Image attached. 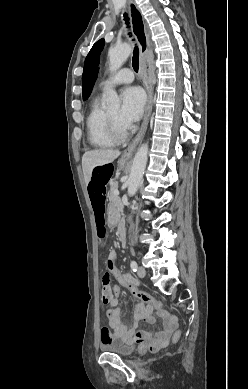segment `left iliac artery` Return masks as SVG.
Returning <instances> with one entry per match:
<instances>
[{"instance_id":"left-iliac-artery-1","label":"left iliac artery","mask_w":248,"mask_h":389,"mask_svg":"<svg viewBox=\"0 0 248 389\" xmlns=\"http://www.w3.org/2000/svg\"><path fill=\"white\" fill-rule=\"evenodd\" d=\"M130 267H131L132 271L136 272L137 271V263H136V261H134V260L131 261Z\"/></svg>"}]
</instances>
